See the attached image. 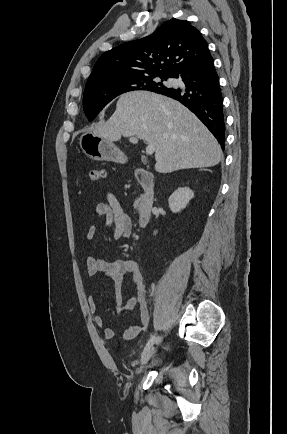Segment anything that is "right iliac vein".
Wrapping results in <instances>:
<instances>
[{"label":"right iliac vein","instance_id":"63e3f726","mask_svg":"<svg viewBox=\"0 0 287 434\" xmlns=\"http://www.w3.org/2000/svg\"><path fill=\"white\" fill-rule=\"evenodd\" d=\"M155 353V346H151L148 349H146L140 359V366L141 368L144 367L145 364L153 357Z\"/></svg>","mask_w":287,"mask_h":434}]
</instances>
